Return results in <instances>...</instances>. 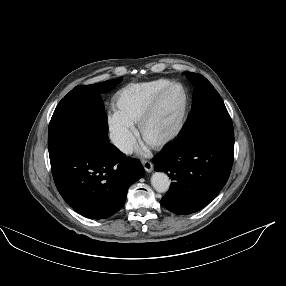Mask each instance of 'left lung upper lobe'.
I'll return each mask as SVG.
<instances>
[{
	"instance_id": "5c2ea615",
	"label": "left lung upper lobe",
	"mask_w": 286,
	"mask_h": 286,
	"mask_svg": "<svg viewBox=\"0 0 286 286\" xmlns=\"http://www.w3.org/2000/svg\"><path fill=\"white\" fill-rule=\"evenodd\" d=\"M187 76L195 85L193 105L177 143L184 145L211 136L233 137L232 120L219 93L202 75L188 72Z\"/></svg>"
}]
</instances>
